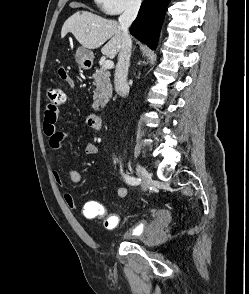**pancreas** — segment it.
<instances>
[{
  "label": "pancreas",
  "mask_w": 249,
  "mask_h": 294,
  "mask_svg": "<svg viewBox=\"0 0 249 294\" xmlns=\"http://www.w3.org/2000/svg\"><path fill=\"white\" fill-rule=\"evenodd\" d=\"M94 86L95 89L93 91V105L92 107L95 110H99V108H104L109 98L112 96V86L110 82V72L102 66L100 69L96 70L93 74Z\"/></svg>",
  "instance_id": "cf45deb5"
}]
</instances>
